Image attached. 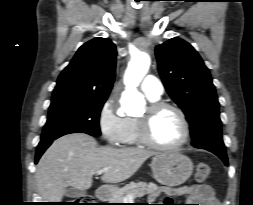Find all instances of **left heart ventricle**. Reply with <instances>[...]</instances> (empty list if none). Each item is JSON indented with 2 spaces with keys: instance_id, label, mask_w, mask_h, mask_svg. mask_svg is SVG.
<instances>
[{
  "instance_id": "1",
  "label": "left heart ventricle",
  "mask_w": 253,
  "mask_h": 205,
  "mask_svg": "<svg viewBox=\"0 0 253 205\" xmlns=\"http://www.w3.org/2000/svg\"><path fill=\"white\" fill-rule=\"evenodd\" d=\"M152 136L161 145L170 146L180 142L184 136V126L178 114L172 110L159 113L152 123Z\"/></svg>"
}]
</instances>
